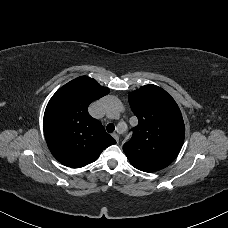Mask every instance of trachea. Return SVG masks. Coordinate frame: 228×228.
Listing matches in <instances>:
<instances>
[{"label":"trachea","instance_id":"1","mask_svg":"<svg viewBox=\"0 0 228 228\" xmlns=\"http://www.w3.org/2000/svg\"><path fill=\"white\" fill-rule=\"evenodd\" d=\"M107 132L112 133L115 130V126L112 123H109L106 127Z\"/></svg>","mask_w":228,"mask_h":228}]
</instances>
